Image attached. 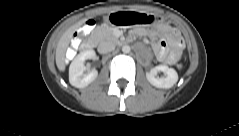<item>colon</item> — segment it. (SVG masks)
I'll list each match as a JSON object with an SVG mask.
<instances>
[{
    "label": "colon",
    "instance_id": "colon-1",
    "mask_svg": "<svg viewBox=\"0 0 239 136\" xmlns=\"http://www.w3.org/2000/svg\"><path fill=\"white\" fill-rule=\"evenodd\" d=\"M93 28V22L92 21H88L84 27H83V32L84 33H88L92 30ZM178 67L181 68L182 67V63L181 62H178Z\"/></svg>",
    "mask_w": 239,
    "mask_h": 136
}]
</instances>
